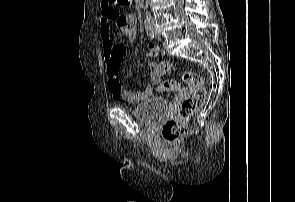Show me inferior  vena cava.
<instances>
[{"mask_svg": "<svg viewBox=\"0 0 295 202\" xmlns=\"http://www.w3.org/2000/svg\"><path fill=\"white\" fill-rule=\"evenodd\" d=\"M148 16L151 18V14L150 13H148Z\"/></svg>", "mask_w": 295, "mask_h": 202, "instance_id": "obj_1", "label": "inferior vena cava"}]
</instances>
